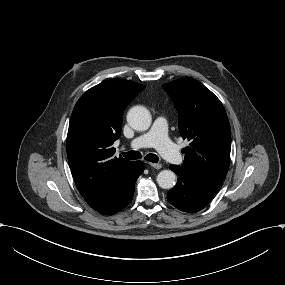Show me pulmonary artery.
<instances>
[{
  "instance_id": "obj_1",
  "label": "pulmonary artery",
  "mask_w": 285,
  "mask_h": 285,
  "mask_svg": "<svg viewBox=\"0 0 285 285\" xmlns=\"http://www.w3.org/2000/svg\"><path fill=\"white\" fill-rule=\"evenodd\" d=\"M167 122L164 118H157L152 127L130 142L131 148H140L152 143L165 158L176 164H182L183 157L180 153V147L168 140Z\"/></svg>"
}]
</instances>
